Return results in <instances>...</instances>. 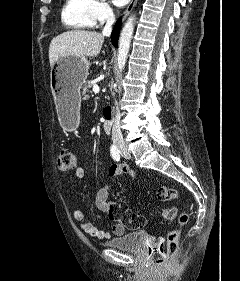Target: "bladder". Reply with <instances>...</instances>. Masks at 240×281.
<instances>
[{"instance_id": "1", "label": "bladder", "mask_w": 240, "mask_h": 281, "mask_svg": "<svg viewBox=\"0 0 240 281\" xmlns=\"http://www.w3.org/2000/svg\"><path fill=\"white\" fill-rule=\"evenodd\" d=\"M145 238L144 232L135 231L111 238L105 245L121 251L139 252L143 248Z\"/></svg>"}]
</instances>
